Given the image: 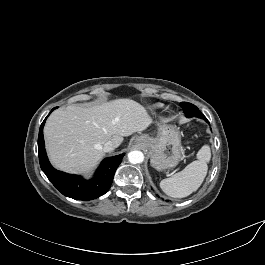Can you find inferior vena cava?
Masks as SVG:
<instances>
[{
  "label": "inferior vena cava",
  "instance_id": "inferior-vena-cava-1",
  "mask_svg": "<svg viewBox=\"0 0 265 265\" xmlns=\"http://www.w3.org/2000/svg\"><path fill=\"white\" fill-rule=\"evenodd\" d=\"M116 148V145L112 141H108L103 146L104 152H111Z\"/></svg>",
  "mask_w": 265,
  "mask_h": 265
}]
</instances>
